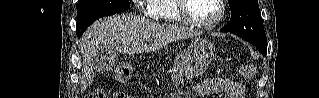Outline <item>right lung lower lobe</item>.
Instances as JSON below:
<instances>
[{"mask_svg": "<svg viewBox=\"0 0 319 98\" xmlns=\"http://www.w3.org/2000/svg\"><path fill=\"white\" fill-rule=\"evenodd\" d=\"M113 14H101V15H96V16L88 17V18L77 21L76 23L77 36L80 37L83 34V32L86 30V28L90 26L95 20L99 19L100 17L110 16Z\"/></svg>", "mask_w": 319, "mask_h": 98, "instance_id": "right-lung-lower-lobe-1", "label": "right lung lower lobe"}]
</instances>
